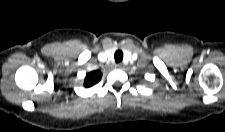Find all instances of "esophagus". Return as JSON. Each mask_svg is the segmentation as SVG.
<instances>
[{
    "mask_svg": "<svg viewBox=\"0 0 225 132\" xmlns=\"http://www.w3.org/2000/svg\"><path fill=\"white\" fill-rule=\"evenodd\" d=\"M116 67H117L118 69H122V68H123V64H122V63H118V64L116 65Z\"/></svg>",
    "mask_w": 225,
    "mask_h": 132,
    "instance_id": "obj_1",
    "label": "esophagus"
}]
</instances>
